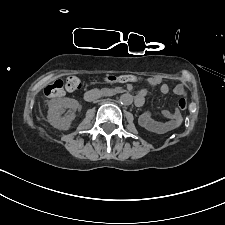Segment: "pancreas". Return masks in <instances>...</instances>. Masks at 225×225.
<instances>
[{
  "mask_svg": "<svg viewBox=\"0 0 225 225\" xmlns=\"http://www.w3.org/2000/svg\"><path fill=\"white\" fill-rule=\"evenodd\" d=\"M102 91H103V93H105V94H110L112 90L107 89V88H104Z\"/></svg>",
  "mask_w": 225,
  "mask_h": 225,
  "instance_id": "pancreas-1",
  "label": "pancreas"
}]
</instances>
